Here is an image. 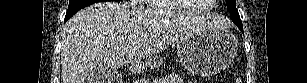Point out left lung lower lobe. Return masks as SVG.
<instances>
[{
    "label": "left lung lower lobe",
    "mask_w": 307,
    "mask_h": 83,
    "mask_svg": "<svg viewBox=\"0 0 307 83\" xmlns=\"http://www.w3.org/2000/svg\"><path fill=\"white\" fill-rule=\"evenodd\" d=\"M238 28L243 32V26H238Z\"/></svg>",
    "instance_id": "0a47b994"
}]
</instances>
